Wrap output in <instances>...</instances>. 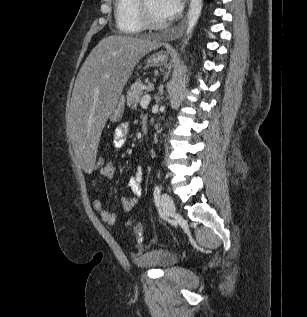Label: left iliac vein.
<instances>
[{
  "label": "left iliac vein",
  "instance_id": "1",
  "mask_svg": "<svg viewBox=\"0 0 307 317\" xmlns=\"http://www.w3.org/2000/svg\"><path fill=\"white\" fill-rule=\"evenodd\" d=\"M161 206L166 217H171L175 213L174 201L167 193H163L162 195Z\"/></svg>",
  "mask_w": 307,
  "mask_h": 317
}]
</instances>
